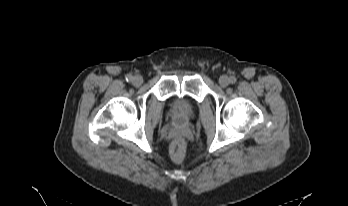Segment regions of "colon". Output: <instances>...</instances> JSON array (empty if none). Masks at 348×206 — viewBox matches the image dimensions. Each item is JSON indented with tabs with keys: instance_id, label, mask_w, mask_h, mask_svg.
<instances>
[{
	"instance_id": "obj_1",
	"label": "colon",
	"mask_w": 348,
	"mask_h": 206,
	"mask_svg": "<svg viewBox=\"0 0 348 206\" xmlns=\"http://www.w3.org/2000/svg\"><path fill=\"white\" fill-rule=\"evenodd\" d=\"M184 144L183 141L180 139H177L174 141V143L171 146V156L172 158L177 161L180 162L183 157H184Z\"/></svg>"
}]
</instances>
